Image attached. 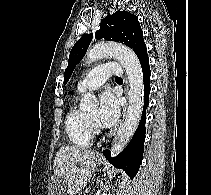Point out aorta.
Here are the masks:
<instances>
[{"mask_svg": "<svg viewBox=\"0 0 211 195\" xmlns=\"http://www.w3.org/2000/svg\"><path fill=\"white\" fill-rule=\"evenodd\" d=\"M107 56H112L121 63L128 76L130 86L127 114L111 147V155L115 156L126 146L139 123L144 102V81L142 68L136 54L129 48L115 43H96L87 51L86 64L90 65L94 61ZM80 108L83 111H93L97 109L98 101L95 95L91 93L84 94L80 102Z\"/></svg>", "mask_w": 211, "mask_h": 195, "instance_id": "762f6f07", "label": "aorta"}]
</instances>
